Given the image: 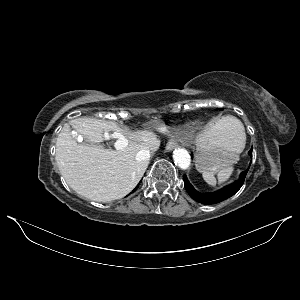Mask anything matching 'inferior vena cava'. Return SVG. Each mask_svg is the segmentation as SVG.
I'll return each mask as SVG.
<instances>
[{"label": "inferior vena cava", "mask_w": 300, "mask_h": 300, "mask_svg": "<svg viewBox=\"0 0 300 300\" xmlns=\"http://www.w3.org/2000/svg\"><path fill=\"white\" fill-rule=\"evenodd\" d=\"M160 146V141L158 139L153 142V151H157ZM150 158V150L147 148L141 149L137 152L135 159L139 162H148Z\"/></svg>", "instance_id": "inferior-vena-cava-1"}]
</instances>
